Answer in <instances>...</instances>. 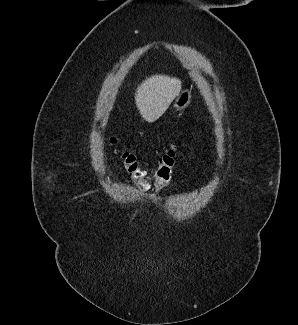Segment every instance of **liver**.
Listing matches in <instances>:
<instances>
[{"instance_id":"liver-1","label":"liver","mask_w":298,"mask_h":325,"mask_svg":"<svg viewBox=\"0 0 298 325\" xmlns=\"http://www.w3.org/2000/svg\"><path fill=\"white\" fill-rule=\"evenodd\" d=\"M182 90V80L171 74H151L137 86L135 104L144 120L153 122L169 108Z\"/></svg>"}]
</instances>
